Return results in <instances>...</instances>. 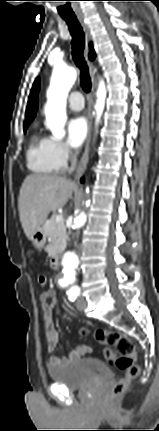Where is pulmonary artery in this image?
Wrapping results in <instances>:
<instances>
[{"instance_id":"e3ab8cb5","label":"pulmonary artery","mask_w":159,"mask_h":431,"mask_svg":"<svg viewBox=\"0 0 159 431\" xmlns=\"http://www.w3.org/2000/svg\"><path fill=\"white\" fill-rule=\"evenodd\" d=\"M68 106L74 111H80L84 108V98L79 91L72 92L68 97Z\"/></svg>"}]
</instances>
